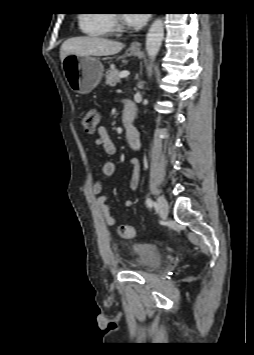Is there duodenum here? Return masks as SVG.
<instances>
[{
    "instance_id": "obj_1",
    "label": "duodenum",
    "mask_w": 254,
    "mask_h": 355,
    "mask_svg": "<svg viewBox=\"0 0 254 355\" xmlns=\"http://www.w3.org/2000/svg\"><path fill=\"white\" fill-rule=\"evenodd\" d=\"M126 104V111L123 113V125H124V128L126 130L127 133H130L132 132L133 130H135V126H134V109H135V106L134 104L127 100L125 101Z\"/></svg>"
}]
</instances>
